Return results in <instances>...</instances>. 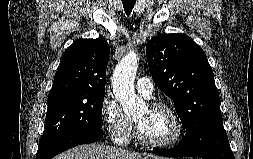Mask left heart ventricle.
Wrapping results in <instances>:
<instances>
[{
	"label": "left heart ventricle",
	"mask_w": 253,
	"mask_h": 159,
	"mask_svg": "<svg viewBox=\"0 0 253 159\" xmlns=\"http://www.w3.org/2000/svg\"><path fill=\"white\" fill-rule=\"evenodd\" d=\"M143 135L152 141H164L171 138L175 125L171 115L163 109L150 108L147 105L134 116Z\"/></svg>",
	"instance_id": "b2bd125f"
}]
</instances>
